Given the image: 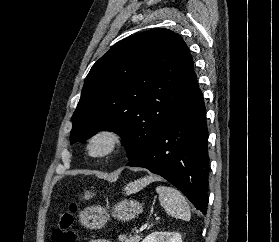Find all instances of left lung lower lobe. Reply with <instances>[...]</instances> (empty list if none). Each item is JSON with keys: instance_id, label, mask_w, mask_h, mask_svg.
<instances>
[{"instance_id": "left-lung-lower-lobe-1", "label": "left lung lower lobe", "mask_w": 279, "mask_h": 242, "mask_svg": "<svg viewBox=\"0 0 279 242\" xmlns=\"http://www.w3.org/2000/svg\"><path fill=\"white\" fill-rule=\"evenodd\" d=\"M208 130L196 76L180 105L149 147L126 164L158 174L181 190L196 209L208 206Z\"/></svg>"}]
</instances>
